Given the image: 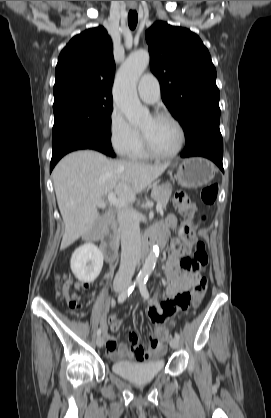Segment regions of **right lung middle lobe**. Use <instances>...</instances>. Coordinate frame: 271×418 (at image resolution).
<instances>
[{
  "label": "right lung middle lobe",
  "mask_w": 271,
  "mask_h": 418,
  "mask_svg": "<svg viewBox=\"0 0 271 418\" xmlns=\"http://www.w3.org/2000/svg\"><path fill=\"white\" fill-rule=\"evenodd\" d=\"M112 109V98L79 96L54 101L53 140L93 129L110 133Z\"/></svg>",
  "instance_id": "right-lung-middle-lobe-1"
}]
</instances>
